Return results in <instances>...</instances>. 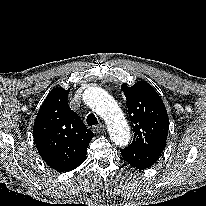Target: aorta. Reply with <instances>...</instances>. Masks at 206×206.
Segmentation results:
<instances>
[{
	"instance_id": "aorta-1",
	"label": "aorta",
	"mask_w": 206,
	"mask_h": 206,
	"mask_svg": "<svg viewBox=\"0 0 206 206\" xmlns=\"http://www.w3.org/2000/svg\"><path fill=\"white\" fill-rule=\"evenodd\" d=\"M87 104L108 123L111 140L118 146L128 145L130 128L113 97L101 88H91L84 96Z\"/></svg>"
}]
</instances>
